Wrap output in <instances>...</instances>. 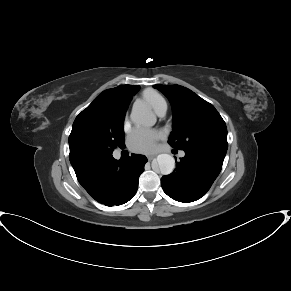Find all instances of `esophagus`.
Instances as JSON below:
<instances>
[{
    "instance_id": "1",
    "label": "esophagus",
    "mask_w": 291,
    "mask_h": 291,
    "mask_svg": "<svg viewBox=\"0 0 291 291\" xmlns=\"http://www.w3.org/2000/svg\"><path fill=\"white\" fill-rule=\"evenodd\" d=\"M156 157V154L153 155H148L147 158L149 161H151L152 159H154Z\"/></svg>"
}]
</instances>
